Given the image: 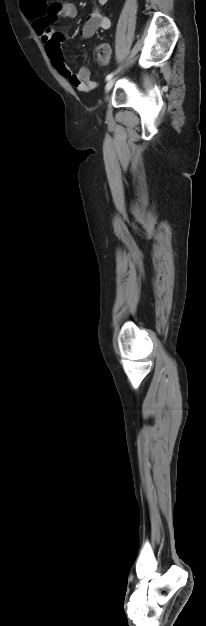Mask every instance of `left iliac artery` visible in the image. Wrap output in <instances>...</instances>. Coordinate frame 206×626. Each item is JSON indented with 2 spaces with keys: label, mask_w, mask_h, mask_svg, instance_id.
Here are the masks:
<instances>
[{
  "label": "left iliac artery",
  "mask_w": 206,
  "mask_h": 626,
  "mask_svg": "<svg viewBox=\"0 0 206 626\" xmlns=\"http://www.w3.org/2000/svg\"><path fill=\"white\" fill-rule=\"evenodd\" d=\"M115 74H116V72H112V73L108 74L106 76V81L110 80Z\"/></svg>",
  "instance_id": "44dca946"
}]
</instances>
